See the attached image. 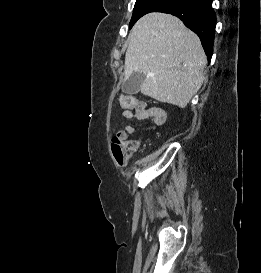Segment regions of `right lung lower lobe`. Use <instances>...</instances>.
<instances>
[{"label":"right lung lower lobe","instance_id":"1","mask_svg":"<svg viewBox=\"0 0 261 273\" xmlns=\"http://www.w3.org/2000/svg\"><path fill=\"white\" fill-rule=\"evenodd\" d=\"M159 12L177 16L185 26L194 31L210 62L216 26L212 0H167L165 8Z\"/></svg>","mask_w":261,"mask_h":273}]
</instances>
